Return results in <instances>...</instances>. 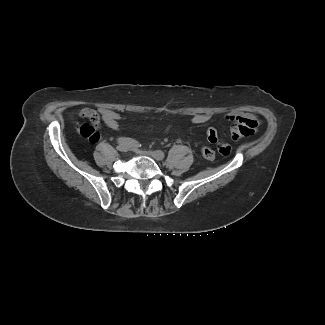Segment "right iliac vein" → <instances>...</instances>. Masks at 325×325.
I'll use <instances>...</instances> for the list:
<instances>
[{
  "mask_svg": "<svg viewBox=\"0 0 325 325\" xmlns=\"http://www.w3.org/2000/svg\"><path fill=\"white\" fill-rule=\"evenodd\" d=\"M128 147L125 146V145H118L117 146V150L120 151V152H127L128 151Z\"/></svg>",
  "mask_w": 325,
  "mask_h": 325,
  "instance_id": "obj_1",
  "label": "right iliac vein"
}]
</instances>
